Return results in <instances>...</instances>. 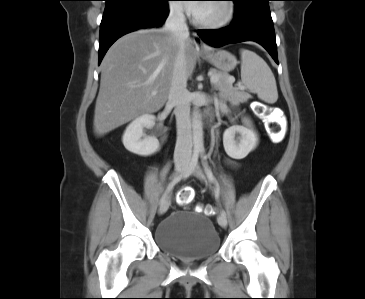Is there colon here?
Masks as SVG:
<instances>
[{
  "instance_id": "1",
  "label": "colon",
  "mask_w": 365,
  "mask_h": 299,
  "mask_svg": "<svg viewBox=\"0 0 365 299\" xmlns=\"http://www.w3.org/2000/svg\"><path fill=\"white\" fill-rule=\"evenodd\" d=\"M273 114H275V117H271ZM260 115H264L267 118V133L270 138L275 142L282 141L285 135V125L283 118L278 111L261 105ZM194 195L195 193L192 188L184 187L178 192L177 202L181 206H186L193 200ZM199 210L207 215L214 214V208L210 205L200 206Z\"/></svg>"
}]
</instances>
